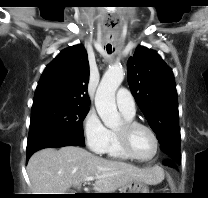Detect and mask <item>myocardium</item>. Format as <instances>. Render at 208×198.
I'll return each instance as SVG.
<instances>
[{"label":"myocardium","mask_w":208,"mask_h":198,"mask_svg":"<svg viewBox=\"0 0 208 198\" xmlns=\"http://www.w3.org/2000/svg\"><path fill=\"white\" fill-rule=\"evenodd\" d=\"M136 128L146 129L153 137L155 148L153 154L149 158H140L132 151L130 146V134ZM115 135L118 143L122 150L133 160L138 162H150L158 154L159 151V139L156 132L147 124L135 121V120H124L122 128L120 130H115Z\"/></svg>","instance_id":"myocardium-1"}]
</instances>
